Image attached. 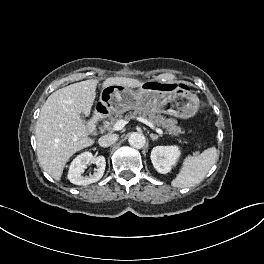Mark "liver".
Instances as JSON below:
<instances>
[{
    "mask_svg": "<svg viewBox=\"0 0 264 264\" xmlns=\"http://www.w3.org/2000/svg\"><path fill=\"white\" fill-rule=\"evenodd\" d=\"M97 83L91 79L58 89L41 108L35 132L38 161L56 181L61 179L64 166L73 154L94 144L80 114L90 115ZM110 85L135 88L143 83L132 78L110 77L102 87Z\"/></svg>",
    "mask_w": 264,
    "mask_h": 264,
    "instance_id": "1",
    "label": "liver"
}]
</instances>
